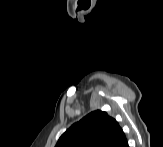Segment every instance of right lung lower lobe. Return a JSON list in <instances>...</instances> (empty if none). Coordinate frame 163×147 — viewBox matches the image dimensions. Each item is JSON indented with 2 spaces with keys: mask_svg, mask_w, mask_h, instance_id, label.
Here are the masks:
<instances>
[{
  "mask_svg": "<svg viewBox=\"0 0 163 147\" xmlns=\"http://www.w3.org/2000/svg\"><path fill=\"white\" fill-rule=\"evenodd\" d=\"M114 147H128V142L126 137L122 138L120 141H118Z\"/></svg>",
  "mask_w": 163,
  "mask_h": 147,
  "instance_id": "right-lung-lower-lobe-1",
  "label": "right lung lower lobe"
}]
</instances>
